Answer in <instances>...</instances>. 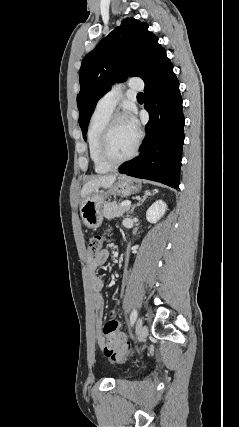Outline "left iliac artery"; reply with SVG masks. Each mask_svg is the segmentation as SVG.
<instances>
[{
  "label": "left iliac artery",
  "mask_w": 239,
  "mask_h": 427,
  "mask_svg": "<svg viewBox=\"0 0 239 427\" xmlns=\"http://www.w3.org/2000/svg\"><path fill=\"white\" fill-rule=\"evenodd\" d=\"M136 318H137V310H136V309H133V311H132V313H131V315H130L131 325H133V324H134V322H135Z\"/></svg>",
  "instance_id": "1"
}]
</instances>
